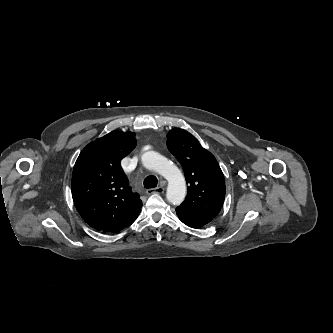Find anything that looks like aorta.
Masks as SVG:
<instances>
[{
  "label": "aorta",
  "mask_w": 333,
  "mask_h": 333,
  "mask_svg": "<svg viewBox=\"0 0 333 333\" xmlns=\"http://www.w3.org/2000/svg\"><path fill=\"white\" fill-rule=\"evenodd\" d=\"M141 160L146 168L159 173L167 180V200L173 205H179L186 195L185 180L180 170L154 151L145 152Z\"/></svg>",
  "instance_id": "aorta-1"
}]
</instances>
